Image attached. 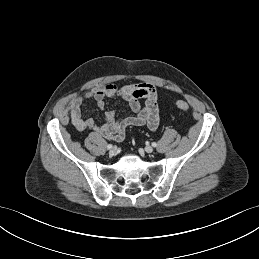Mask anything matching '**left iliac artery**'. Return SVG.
<instances>
[{
    "mask_svg": "<svg viewBox=\"0 0 259 259\" xmlns=\"http://www.w3.org/2000/svg\"><path fill=\"white\" fill-rule=\"evenodd\" d=\"M152 146H153V147H156V146H157V144H156L155 142H153V143H152Z\"/></svg>",
    "mask_w": 259,
    "mask_h": 259,
    "instance_id": "1",
    "label": "left iliac artery"
}]
</instances>
